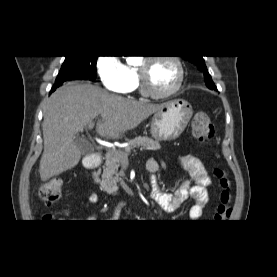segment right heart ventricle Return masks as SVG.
<instances>
[{"mask_svg":"<svg viewBox=\"0 0 277 277\" xmlns=\"http://www.w3.org/2000/svg\"><path fill=\"white\" fill-rule=\"evenodd\" d=\"M129 68V72L131 74V85L129 88V91L135 90L138 87V73H137V68L130 66Z\"/></svg>","mask_w":277,"mask_h":277,"instance_id":"e07e8e85","label":"right heart ventricle"}]
</instances>
